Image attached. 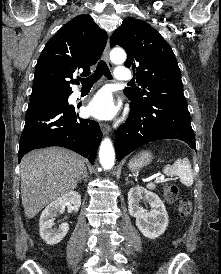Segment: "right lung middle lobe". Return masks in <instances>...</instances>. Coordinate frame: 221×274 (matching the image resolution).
Segmentation results:
<instances>
[{"mask_svg": "<svg viewBox=\"0 0 221 274\" xmlns=\"http://www.w3.org/2000/svg\"><path fill=\"white\" fill-rule=\"evenodd\" d=\"M69 95L70 94H63V95H56V96L43 98V99L30 100L28 104V108L43 106V105L61 102V101H67Z\"/></svg>", "mask_w": 221, "mask_h": 274, "instance_id": "dd1d6c3e", "label": "right lung middle lobe"}]
</instances>
